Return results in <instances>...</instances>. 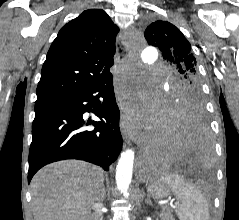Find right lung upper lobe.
<instances>
[{
  "label": "right lung upper lobe",
  "instance_id": "obj_1",
  "mask_svg": "<svg viewBox=\"0 0 239 220\" xmlns=\"http://www.w3.org/2000/svg\"><path fill=\"white\" fill-rule=\"evenodd\" d=\"M119 28L101 9H89L64 25L41 70L35 104L92 87L110 73Z\"/></svg>",
  "mask_w": 239,
  "mask_h": 220
}]
</instances>
